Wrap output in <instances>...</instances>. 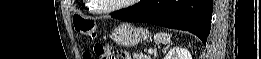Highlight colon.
<instances>
[{
  "label": "colon",
  "mask_w": 261,
  "mask_h": 59,
  "mask_svg": "<svg viewBox=\"0 0 261 59\" xmlns=\"http://www.w3.org/2000/svg\"><path fill=\"white\" fill-rule=\"evenodd\" d=\"M74 26L78 32L88 37L89 39H94L97 36V25L92 19L82 18L77 16L74 18ZM94 53L100 59H115V53L106 45L96 43L94 45ZM118 56L120 53L118 52ZM85 58H92L90 53H85Z\"/></svg>",
  "instance_id": "5ec220e1"
}]
</instances>
